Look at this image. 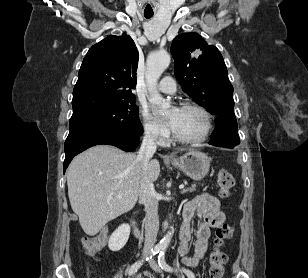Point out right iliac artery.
I'll return each instance as SVG.
<instances>
[{"mask_svg":"<svg viewBox=\"0 0 308 278\" xmlns=\"http://www.w3.org/2000/svg\"><path fill=\"white\" fill-rule=\"evenodd\" d=\"M160 251H161V247H159V246H156V247L152 248V249H151V252H150V254H149V256H147V257H146L145 259H143V260H140V261L135 262V263L129 268L128 274H129V275L135 274V272L138 271V269L142 266V264H143L145 261L151 259L152 256L158 254Z\"/></svg>","mask_w":308,"mask_h":278,"instance_id":"obj_1","label":"right iliac artery"}]
</instances>
